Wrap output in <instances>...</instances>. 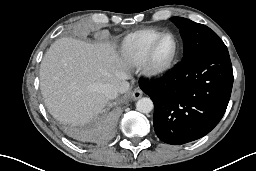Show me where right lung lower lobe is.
I'll return each mask as SVG.
<instances>
[{"mask_svg":"<svg viewBox=\"0 0 256 171\" xmlns=\"http://www.w3.org/2000/svg\"><path fill=\"white\" fill-rule=\"evenodd\" d=\"M123 100L110 102L92 123L74 128L71 135L80 141L104 142L109 140L115 130L122 111Z\"/></svg>","mask_w":256,"mask_h":171,"instance_id":"obj_1","label":"right lung lower lobe"}]
</instances>
